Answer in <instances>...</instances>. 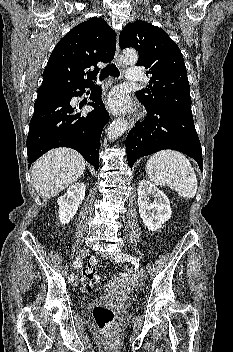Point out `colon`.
<instances>
[{"instance_id":"5ec220e1","label":"colon","mask_w":233,"mask_h":352,"mask_svg":"<svg viewBox=\"0 0 233 352\" xmlns=\"http://www.w3.org/2000/svg\"><path fill=\"white\" fill-rule=\"evenodd\" d=\"M97 279V271L94 266H88L83 273V284L85 290L89 291ZM92 315L96 325L100 329H108L114 322V312L103 305H97L93 308Z\"/></svg>"}]
</instances>
